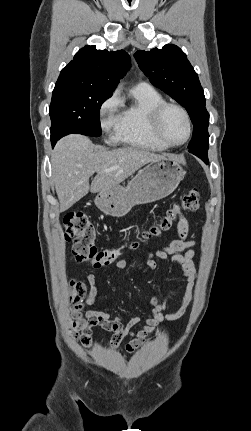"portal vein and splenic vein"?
Wrapping results in <instances>:
<instances>
[{"instance_id":"1","label":"portal vein and splenic vein","mask_w":251,"mask_h":431,"mask_svg":"<svg viewBox=\"0 0 251 431\" xmlns=\"http://www.w3.org/2000/svg\"><path fill=\"white\" fill-rule=\"evenodd\" d=\"M109 171H111V169H105V170H104V172H109Z\"/></svg>"}]
</instances>
